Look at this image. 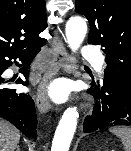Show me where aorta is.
Returning <instances> with one entry per match:
<instances>
[{
  "label": "aorta",
  "instance_id": "1",
  "mask_svg": "<svg viewBox=\"0 0 131 151\" xmlns=\"http://www.w3.org/2000/svg\"><path fill=\"white\" fill-rule=\"evenodd\" d=\"M66 38L72 51H76L83 42L86 32V22L80 17H72L66 24ZM79 113L76 107L68 108L62 115L52 141L51 151H69L73 139Z\"/></svg>",
  "mask_w": 131,
  "mask_h": 151
}]
</instances>
